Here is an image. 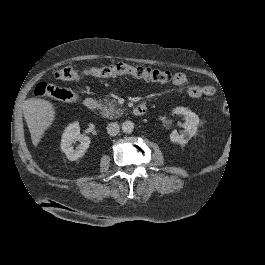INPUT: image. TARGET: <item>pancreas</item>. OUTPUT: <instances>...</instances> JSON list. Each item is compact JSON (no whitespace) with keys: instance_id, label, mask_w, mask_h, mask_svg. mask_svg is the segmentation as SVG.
<instances>
[{"instance_id":"1","label":"pancreas","mask_w":265,"mask_h":265,"mask_svg":"<svg viewBox=\"0 0 265 265\" xmlns=\"http://www.w3.org/2000/svg\"><path fill=\"white\" fill-rule=\"evenodd\" d=\"M101 105V115L108 119L117 118L123 114L124 108L117 107V103L115 99H111L110 97L105 98L104 101H100Z\"/></svg>"}]
</instances>
